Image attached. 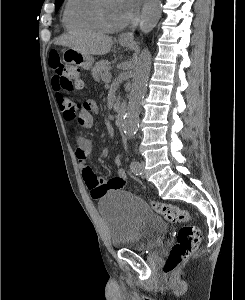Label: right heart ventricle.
I'll use <instances>...</instances> for the list:
<instances>
[{"label":"right heart ventricle","instance_id":"right-heart-ventricle-1","mask_svg":"<svg viewBox=\"0 0 245 300\" xmlns=\"http://www.w3.org/2000/svg\"><path fill=\"white\" fill-rule=\"evenodd\" d=\"M94 4L95 0H67L63 15L65 27L72 32H101L94 18Z\"/></svg>","mask_w":245,"mask_h":300}]
</instances>
